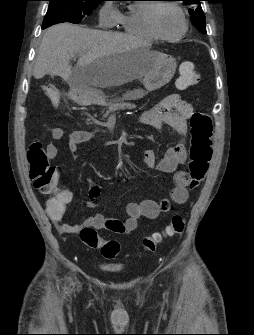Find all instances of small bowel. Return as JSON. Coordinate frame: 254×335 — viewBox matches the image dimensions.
<instances>
[{"mask_svg": "<svg viewBox=\"0 0 254 335\" xmlns=\"http://www.w3.org/2000/svg\"><path fill=\"white\" fill-rule=\"evenodd\" d=\"M192 113L193 107L188 101L184 100L179 94H171L145 112L141 118V122L147 126L155 129L170 127L180 136V141L171 146L160 161H156L155 153L150 149L146 150L143 156L144 164L147 167H155L160 172L174 174V187L170 190V199H163L159 202L153 200H144L140 203L130 202L126 206L127 216L123 220L96 213L89 216L84 222L72 225L63 222L62 219L67 204L73 199V194L70 190H55L54 197L47 202V206L50 202H57L60 207L57 211H53L48 206L47 210L58 232L63 235L78 234L83 228L92 227L96 230L104 229L116 234H127L136 230L140 218L156 219L161 213L169 211L171 202L186 203L189 198V177L186 172L177 171V167L186 161L187 153L183 140L186 136L187 121ZM51 137L54 141H61L65 137V132L61 128H53ZM91 138L92 135L88 131L78 130L69 133L67 142L69 151L75 154L79 146L88 142ZM57 153L58 149L54 143L46 145L48 159H54ZM31 179L35 187L39 189L40 187L35 184L36 178ZM98 195L99 189L97 187L92 188L86 202L88 208L97 206Z\"/></svg>", "mask_w": 254, "mask_h": 335, "instance_id": "c3829d8e", "label": "small bowel"}]
</instances>
